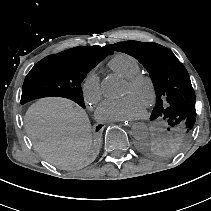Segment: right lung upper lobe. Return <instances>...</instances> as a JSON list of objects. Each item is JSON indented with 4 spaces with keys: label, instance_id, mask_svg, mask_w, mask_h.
<instances>
[{
    "label": "right lung upper lobe",
    "instance_id": "obj_1",
    "mask_svg": "<svg viewBox=\"0 0 211 211\" xmlns=\"http://www.w3.org/2000/svg\"><path fill=\"white\" fill-rule=\"evenodd\" d=\"M63 54H68L77 57H103L113 54V51L108 46H90V47H75L66 51L61 52Z\"/></svg>",
    "mask_w": 211,
    "mask_h": 211
}]
</instances>
